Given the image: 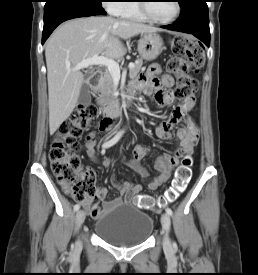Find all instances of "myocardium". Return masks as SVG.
Returning a JSON list of instances; mask_svg holds the SVG:
<instances>
[{
    "label": "myocardium",
    "mask_w": 258,
    "mask_h": 275,
    "mask_svg": "<svg viewBox=\"0 0 258 275\" xmlns=\"http://www.w3.org/2000/svg\"><path fill=\"white\" fill-rule=\"evenodd\" d=\"M141 2H146V1H141ZM175 5H176L175 15L172 18L167 19V20H160V19H157L154 16H152L151 13H150V11H149L147 3H140L139 4V8H140V11L142 12V14L148 20H150V21H152L154 23H157V24H169V23L174 22L179 17V15L181 13V5H180V3H179L178 0H175Z\"/></svg>",
    "instance_id": "1"
}]
</instances>
